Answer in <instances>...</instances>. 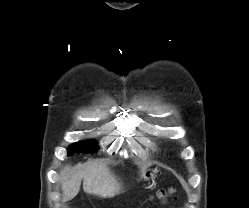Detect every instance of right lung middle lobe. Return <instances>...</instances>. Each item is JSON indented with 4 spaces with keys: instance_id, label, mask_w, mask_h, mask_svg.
I'll return each mask as SVG.
<instances>
[{
    "instance_id": "obj_1",
    "label": "right lung middle lobe",
    "mask_w": 249,
    "mask_h": 208,
    "mask_svg": "<svg viewBox=\"0 0 249 208\" xmlns=\"http://www.w3.org/2000/svg\"><path fill=\"white\" fill-rule=\"evenodd\" d=\"M97 145L93 141H80L75 144H72L68 149V155H71L75 152H96Z\"/></svg>"
}]
</instances>
